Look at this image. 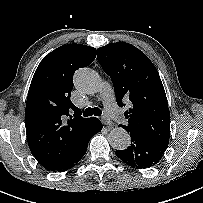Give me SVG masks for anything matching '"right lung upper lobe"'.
<instances>
[{
    "instance_id": "1",
    "label": "right lung upper lobe",
    "mask_w": 203,
    "mask_h": 203,
    "mask_svg": "<svg viewBox=\"0 0 203 203\" xmlns=\"http://www.w3.org/2000/svg\"><path fill=\"white\" fill-rule=\"evenodd\" d=\"M96 49L63 45L40 62L30 84L25 127L32 155L47 170L59 171L70 159L95 117L83 118L70 100L73 75L90 65Z\"/></svg>"
}]
</instances>
